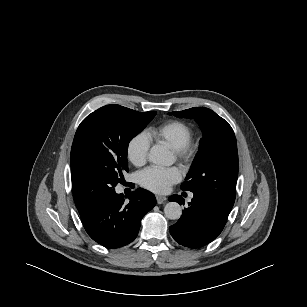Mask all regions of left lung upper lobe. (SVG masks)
<instances>
[{
  "mask_svg": "<svg viewBox=\"0 0 307 307\" xmlns=\"http://www.w3.org/2000/svg\"><path fill=\"white\" fill-rule=\"evenodd\" d=\"M168 114L194 118L203 131L199 151L181 189L202 194L230 211L235 201L238 177V152L233 129L208 108L194 107Z\"/></svg>",
  "mask_w": 307,
  "mask_h": 307,
  "instance_id": "1",
  "label": "left lung upper lobe"
}]
</instances>
